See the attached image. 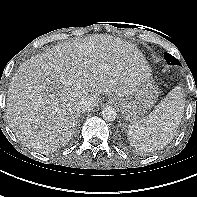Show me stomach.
<instances>
[{
  "instance_id": "stomach-1",
  "label": "stomach",
  "mask_w": 197,
  "mask_h": 197,
  "mask_svg": "<svg viewBox=\"0 0 197 197\" xmlns=\"http://www.w3.org/2000/svg\"><path fill=\"white\" fill-rule=\"evenodd\" d=\"M158 98V88L151 77L144 78L129 95L113 96L112 101L119 106L122 117L126 122H136L142 119L154 106Z\"/></svg>"
}]
</instances>
